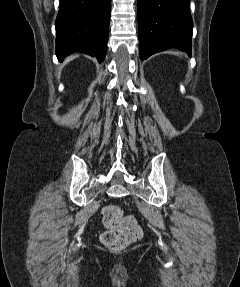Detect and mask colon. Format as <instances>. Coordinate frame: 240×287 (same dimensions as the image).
<instances>
[{
    "mask_svg": "<svg viewBox=\"0 0 240 287\" xmlns=\"http://www.w3.org/2000/svg\"><path fill=\"white\" fill-rule=\"evenodd\" d=\"M102 221L106 230L101 235V243L111 251H122L142 236L136 219L125 216L117 205H108L102 209Z\"/></svg>",
    "mask_w": 240,
    "mask_h": 287,
    "instance_id": "colon-1",
    "label": "colon"
}]
</instances>
